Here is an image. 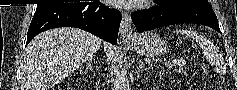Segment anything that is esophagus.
<instances>
[{
    "label": "esophagus",
    "mask_w": 237,
    "mask_h": 90,
    "mask_svg": "<svg viewBox=\"0 0 237 90\" xmlns=\"http://www.w3.org/2000/svg\"><path fill=\"white\" fill-rule=\"evenodd\" d=\"M119 33L123 42H132L135 38L132 28L131 17L127 11L122 13V21L120 24Z\"/></svg>",
    "instance_id": "esophagus-1"
}]
</instances>
